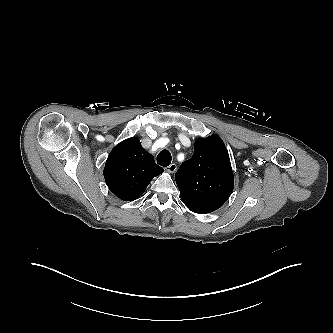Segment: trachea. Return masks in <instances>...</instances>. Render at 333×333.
<instances>
[{"label":"trachea","mask_w":333,"mask_h":333,"mask_svg":"<svg viewBox=\"0 0 333 333\" xmlns=\"http://www.w3.org/2000/svg\"><path fill=\"white\" fill-rule=\"evenodd\" d=\"M172 157L171 153L168 150H162L157 155V163L161 166H169L171 163Z\"/></svg>","instance_id":"obj_1"}]
</instances>
